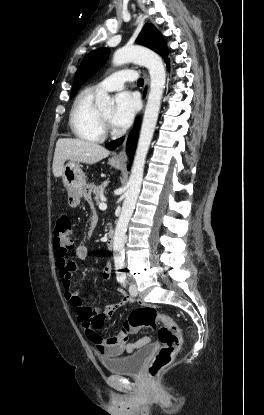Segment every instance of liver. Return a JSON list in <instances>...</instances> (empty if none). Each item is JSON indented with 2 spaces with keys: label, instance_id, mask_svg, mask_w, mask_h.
Instances as JSON below:
<instances>
[{
  "label": "liver",
  "instance_id": "1",
  "mask_svg": "<svg viewBox=\"0 0 264 415\" xmlns=\"http://www.w3.org/2000/svg\"><path fill=\"white\" fill-rule=\"evenodd\" d=\"M110 151L105 147L82 139L61 138L56 143L53 159V175L62 176L66 161L95 164L105 157Z\"/></svg>",
  "mask_w": 264,
  "mask_h": 415
}]
</instances>
